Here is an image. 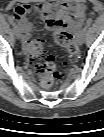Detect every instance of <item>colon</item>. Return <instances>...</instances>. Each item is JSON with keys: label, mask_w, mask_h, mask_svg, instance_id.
I'll list each match as a JSON object with an SVG mask.
<instances>
[{"label": "colon", "mask_w": 104, "mask_h": 137, "mask_svg": "<svg viewBox=\"0 0 104 137\" xmlns=\"http://www.w3.org/2000/svg\"><path fill=\"white\" fill-rule=\"evenodd\" d=\"M52 30L55 41L66 49L71 60L75 59L78 46L71 32L63 27H55ZM29 63L38 73L44 88L51 87L60 78L53 57L44 52L40 39H34L29 43Z\"/></svg>", "instance_id": "5ec220e1"}]
</instances>
